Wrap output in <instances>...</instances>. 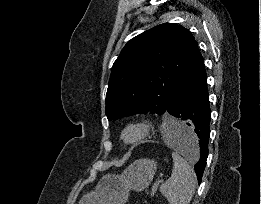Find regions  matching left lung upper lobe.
Segmentation results:
<instances>
[{
	"label": "left lung upper lobe",
	"instance_id": "1",
	"mask_svg": "<svg viewBox=\"0 0 261 204\" xmlns=\"http://www.w3.org/2000/svg\"><path fill=\"white\" fill-rule=\"evenodd\" d=\"M190 31L164 23L131 39L114 62L106 94V116L165 113L197 48Z\"/></svg>",
	"mask_w": 261,
	"mask_h": 204
}]
</instances>
